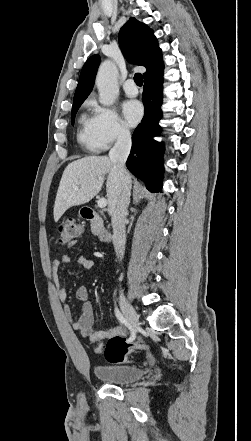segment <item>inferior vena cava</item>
Wrapping results in <instances>:
<instances>
[{"label": "inferior vena cava", "instance_id": "obj_1", "mask_svg": "<svg viewBox=\"0 0 251 441\" xmlns=\"http://www.w3.org/2000/svg\"><path fill=\"white\" fill-rule=\"evenodd\" d=\"M131 149V135L129 130L120 129L114 147L109 152V158L116 163L120 174V194L111 213L113 239L120 256L123 258L126 244L125 219L131 195V178L125 168V162Z\"/></svg>", "mask_w": 251, "mask_h": 441}]
</instances>
